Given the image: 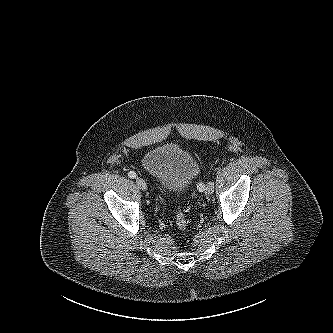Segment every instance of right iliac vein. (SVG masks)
Here are the masks:
<instances>
[{"instance_id":"63e3f726","label":"right iliac vein","mask_w":333,"mask_h":333,"mask_svg":"<svg viewBox=\"0 0 333 333\" xmlns=\"http://www.w3.org/2000/svg\"><path fill=\"white\" fill-rule=\"evenodd\" d=\"M136 184L138 185V187L141 190H143V191L147 190V184H146V182L142 178L137 177L136 178Z\"/></svg>"}]
</instances>
